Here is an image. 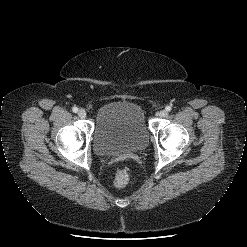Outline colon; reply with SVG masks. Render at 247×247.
<instances>
[{
    "mask_svg": "<svg viewBox=\"0 0 247 247\" xmlns=\"http://www.w3.org/2000/svg\"><path fill=\"white\" fill-rule=\"evenodd\" d=\"M114 184L116 187L123 188L129 182V174L125 169H119L114 175Z\"/></svg>",
    "mask_w": 247,
    "mask_h": 247,
    "instance_id": "obj_1",
    "label": "colon"
}]
</instances>
